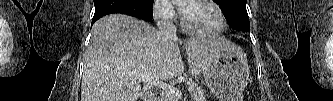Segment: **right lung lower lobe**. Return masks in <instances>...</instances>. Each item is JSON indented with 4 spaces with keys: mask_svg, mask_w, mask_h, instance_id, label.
I'll return each mask as SVG.
<instances>
[{
    "mask_svg": "<svg viewBox=\"0 0 333 101\" xmlns=\"http://www.w3.org/2000/svg\"><path fill=\"white\" fill-rule=\"evenodd\" d=\"M95 14L92 25L99 18L111 14L121 13L147 21L152 20V9L143 0H94Z\"/></svg>",
    "mask_w": 333,
    "mask_h": 101,
    "instance_id": "98d812e1",
    "label": "right lung lower lobe"
}]
</instances>
